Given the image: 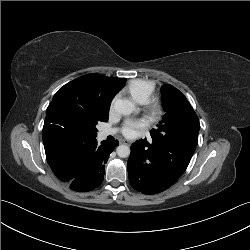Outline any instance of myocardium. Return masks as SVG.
<instances>
[{"label":"myocardium","mask_w":250,"mask_h":250,"mask_svg":"<svg viewBox=\"0 0 250 250\" xmlns=\"http://www.w3.org/2000/svg\"><path fill=\"white\" fill-rule=\"evenodd\" d=\"M147 109L149 114L153 117V118H159L162 116L163 112H164V107H163V103L159 98H151L148 102H147Z\"/></svg>","instance_id":"myocardium-1"}]
</instances>
